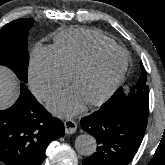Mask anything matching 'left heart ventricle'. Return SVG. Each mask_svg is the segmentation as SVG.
Segmentation results:
<instances>
[{
    "mask_svg": "<svg viewBox=\"0 0 165 165\" xmlns=\"http://www.w3.org/2000/svg\"><path fill=\"white\" fill-rule=\"evenodd\" d=\"M123 61V55L118 52L101 55L89 69L79 75L74 89L85 102L98 97L121 69Z\"/></svg>",
    "mask_w": 165,
    "mask_h": 165,
    "instance_id": "1",
    "label": "left heart ventricle"
}]
</instances>
